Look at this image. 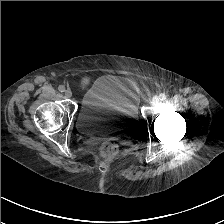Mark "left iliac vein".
<instances>
[{
  "label": "left iliac vein",
  "mask_w": 224,
  "mask_h": 224,
  "mask_svg": "<svg viewBox=\"0 0 224 224\" xmlns=\"http://www.w3.org/2000/svg\"><path fill=\"white\" fill-rule=\"evenodd\" d=\"M158 102H159V98H158V97H154V98L152 99V101H151V104H152V105H157Z\"/></svg>",
  "instance_id": "1"
}]
</instances>
